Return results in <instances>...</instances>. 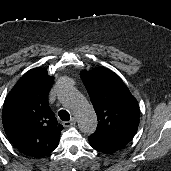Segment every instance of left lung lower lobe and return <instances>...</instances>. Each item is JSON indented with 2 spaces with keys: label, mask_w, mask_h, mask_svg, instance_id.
<instances>
[{
  "label": "left lung lower lobe",
  "mask_w": 171,
  "mask_h": 171,
  "mask_svg": "<svg viewBox=\"0 0 171 171\" xmlns=\"http://www.w3.org/2000/svg\"><path fill=\"white\" fill-rule=\"evenodd\" d=\"M88 140H89L90 145H91L94 149H96V150H98V151H100V152L109 153V154H110V153H114V152L117 151V149L112 148V147H109V146H107V145H104V144H102V143H100V142H97V141H95V140H93V139L88 138Z\"/></svg>",
  "instance_id": "left-lung-lower-lobe-1"
}]
</instances>
